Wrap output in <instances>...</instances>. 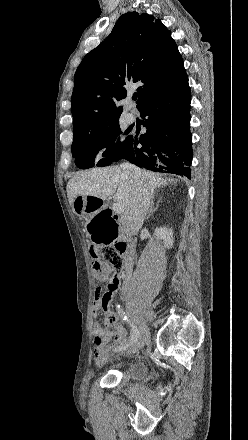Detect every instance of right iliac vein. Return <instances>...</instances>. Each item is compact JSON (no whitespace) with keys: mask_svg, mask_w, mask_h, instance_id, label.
Here are the masks:
<instances>
[{"mask_svg":"<svg viewBox=\"0 0 248 440\" xmlns=\"http://www.w3.org/2000/svg\"><path fill=\"white\" fill-rule=\"evenodd\" d=\"M149 338V330L145 325L140 326L139 328V335L132 345L131 349L128 351V353H135L138 350H140L146 343V341Z\"/></svg>","mask_w":248,"mask_h":440,"instance_id":"right-iliac-vein-1","label":"right iliac vein"}]
</instances>
